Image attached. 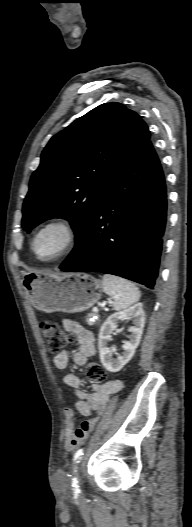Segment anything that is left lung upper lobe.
Listing matches in <instances>:
<instances>
[{"mask_svg": "<svg viewBox=\"0 0 192 527\" xmlns=\"http://www.w3.org/2000/svg\"><path fill=\"white\" fill-rule=\"evenodd\" d=\"M150 141L137 113L104 103L53 136L32 174L23 204V228L63 217L76 242L112 182Z\"/></svg>", "mask_w": 192, "mask_h": 527, "instance_id": "obj_1", "label": "left lung upper lobe"}]
</instances>
